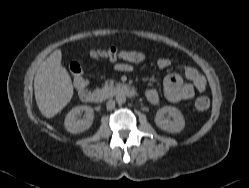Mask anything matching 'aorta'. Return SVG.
Wrapping results in <instances>:
<instances>
[{"label": "aorta", "instance_id": "1", "mask_svg": "<svg viewBox=\"0 0 249 188\" xmlns=\"http://www.w3.org/2000/svg\"><path fill=\"white\" fill-rule=\"evenodd\" d=\"M116 102L118 104H124L126 102V96L123 93H118L116 95Z\"/></svg>", "mask_w": 249, "mask_h": 188}]
</instances>
